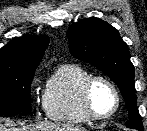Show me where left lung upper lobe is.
I'll return each mask as SVG.
<instances>
[{
    "label": "left lung upper lobe",
    "mask_w": 147,
    "mask_h": 131,
    "mask_svg": "<svg viewBox=\"0 0 147 131\" xmlns=\"http://www.w3.org/2000/svg\"><path fill=\"white\" fill-rule=\"evenodd\" d=\"M68 39L72 55L95 66L120 87L129 112L126 126L141 131L143 125L136 106L134 66L128 46L118 31L107 22L92 17L71 25Z\"/></svg>",
    "instance_id": "left-lung-upper-lobe-1"
}]
</instances>
